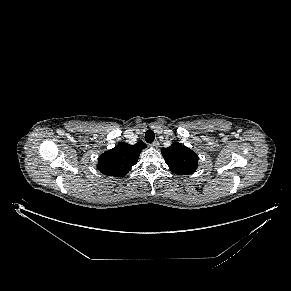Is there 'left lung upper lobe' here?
<instances>
[{
    "label": "left lung upper lobe",
    "instance_id": "obj_1",
    "mask_svg": "<svg viewBox=\"0 0 291 291\" xmlns=\"http://www.w3.org/2000/svg\"><path fill=\"white\" fill-rule=\"evenodd\" d=\"M161 153L170 170L177 175L192 174L198 167L197 154L178 142L162 148Z\"/></svg>",
    "mask_w": 291,
    "mask_h": 291
}]
</instances>
